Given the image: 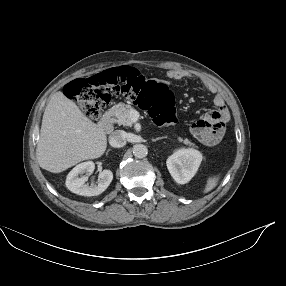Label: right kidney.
<instances>
[{
  "mask_svg": "<svg viewBox=\"0 0 286 286\" xmlns=\"http://www.w3.org/2000/svg\"><path fill=\"white\" fill-rule=\"evenodd\" d=\"M95 169L92 161L83 162L75 166L67 175L66 187L73 193L82 196H96L104 192L113 179V173L110 170H103L99 174L97 184H86L88 176ZM86 173L85 175H83Z\"/></svg>",
  "mask_w": 286,
  "mask_h": 286,
  "instance_id": "obj_1",
  "label": "right kidney"
}]
</instances>
